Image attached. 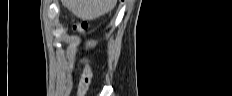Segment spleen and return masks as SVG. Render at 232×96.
<instances>
[{
  "instance_id": "obj_1",
  "label": "spleen",
  "mask_w": 232,
  "mask_h": 96,
  "mask_svg": "<svg viewBox=\"0 0 232 96\" xmlns=\"http://www.w3.org/2000/svg\"><path fill=\"white\" fill-rule=\"evenodd\" d=\"M115 0H63V4L76 17L94 20L113 9Z\"/></svg>"
}]
</instances>
